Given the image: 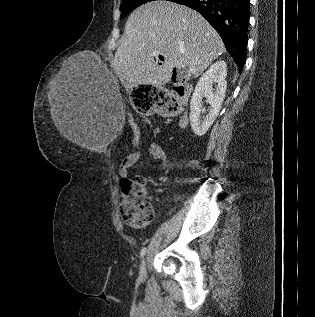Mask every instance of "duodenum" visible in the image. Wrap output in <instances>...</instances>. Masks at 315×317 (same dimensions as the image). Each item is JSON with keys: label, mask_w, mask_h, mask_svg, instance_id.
<instances>
[{"label": "duodenum", "mask_w": 315, "mask_h": 317, "mask_svg": "<svg viewBox=\"0 0 315 317\" xmlns=\"http://www.w3.org/2000/svg\"><path fill=\"white\" fill-rule=\"evenodd\" d=\"M172 83L174 85H177L179 83V80H178V77L177 75H174L173 78H172ZM187 123V119L186 117H183L181 120H180V126H185Z\"/></svg>", "instance_id": "410a0bca"}]
</instances>
